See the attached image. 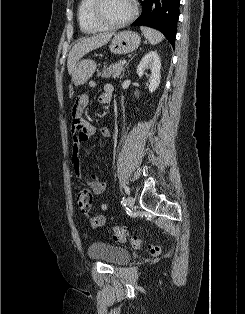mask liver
I'll use <instances>...</instances> for the list:
<instances>
[{
  "label": "liver",
  "mask_w": 245,
  "mask_h": 314,
  "mask_svg": "<svg viewBox=\"0 0 245 314\" xmlns=\"http://www.w3.org/2000/svg\"><path fill=\"white\" fill-rule=\"evenodd\" d=\"M113 35L114 33L98 34L92 37L82 38L79 41H77L68 55L67 60L68 73L69 74L73 73L77 65V62L84 55L108 43V41Z\"/></svg>",
  "instance_id": "liver-1"
}]
</instances>
